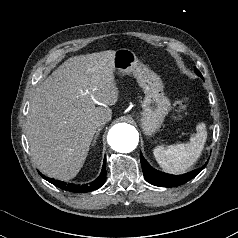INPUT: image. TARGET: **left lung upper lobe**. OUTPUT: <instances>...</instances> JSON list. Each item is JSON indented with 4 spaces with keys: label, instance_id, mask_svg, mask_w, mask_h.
I'll use <instances>...</instances> for the list:
<instances>
[{
    "label": "left lung upper lobe",
    "instance_id": "1",
    "mask_svg": "<svg viewBox=\"0 0 238 238\" xmlns=\"http://www.w3.org/2000/svg\"><path fill=\"white\" fill-rule=\"evenodd\" d=\"M195 72L197 73V75H199L200 77H202L200 71L198 69H195Z\"/></svg>",
    "mask_w": 238,
    "mask_h": 238
}]
</instances>
